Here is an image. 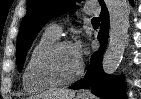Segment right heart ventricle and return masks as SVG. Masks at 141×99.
<instances>
[{
    "mask_svg": "<svg viewBox=\"0 0 141 99\" xmlns=\"http://www.w3.org/2000/svg\"><path fill=\"white\" fill-rule=\"evenodd\" d=\"M55 40H56L55 37L50 36L47 33H44L41 39L38 41V43L33 48L30 54L29 60L24 69L23 76H22L23 87L27 92L39 93V92L45 91L52 87V86L40 83L39 81L36 80L33 74V67H34L35 61L37 57L39 56V54L47 46L55 42Z\"/></svg>",
    "mask_w": 141,
    "mask_h": 99,
    "instance_id": "1",
    "label": "right heart ventricle"
}]
</instances>
